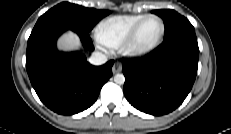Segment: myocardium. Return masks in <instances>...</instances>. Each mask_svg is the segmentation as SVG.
<instances>
[{"mask_svg":"<svg viewBox=\"0 0 231 134\" xmlns=\"http://www.w3.org/2000/svg\"><path fill=\"white\" fill-rule=\"evenodd\" d=\"M151 18H156L160 21L161 23V33L159 35V37L157 38V40L151 44L150 46L144 47V48H139L136 46V40L138 37V34L143 26V24L151 19ZM165 31H166V25L164 20L156 14H148L145 15L131 30V32L129 33L128 37L126 38V40L123 42V44L121 45V52L125 55V56H129V57H142L145 56L149 53H151L152 51H154L162 42L164 35H165Z\"/></svg>","mask_w":231,"mask_h":134,"instance_id":"f54148a6","label":"myocardium"}]
</instances>
